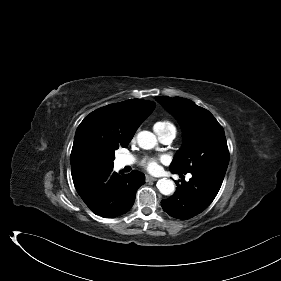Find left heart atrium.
<instances>
[{
	"instance_id": "1",
	"label": "left heart atrium",
	"mask_w": 281,
	"mask_h": 281,
	"mask_svg": "<svg viewBox=\"0 0 281 281\" xmlns=\"http://www.w3.org/2000/svg\"><path fill=\"white\" fill-rule=\"evenodd\" d=\"M143 166L150 172L155 173L157 171H159V160L158 159H154V158H150V159H146L143 162Z\"/></svg>"
}]
</instances>
